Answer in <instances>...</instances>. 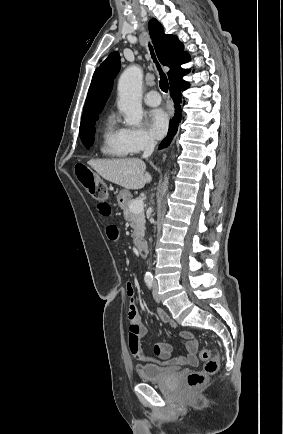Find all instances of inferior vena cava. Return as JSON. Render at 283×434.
Wrapping results in <instances>:
<instances>
[{"mask_svg":"<svg viewBox=\"0 0 283 434\" xmlns=\"http://www.w3.org/2000/svg\"><path fill=\"white\" fill-rule=\"evenodd\" d=\"M155 145H156V143L153 139L148 138L146 140V145H145V149L143 152V158H148L153 153ZM150 241H151V239H150Z\"/></svg>","mask_w":283,"mask_h":434,"instance_id":"inferior-vena-cava-1","label":"inferior vena cava"}]
</instances>
